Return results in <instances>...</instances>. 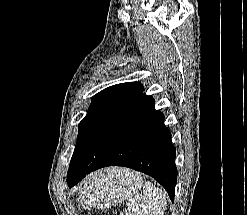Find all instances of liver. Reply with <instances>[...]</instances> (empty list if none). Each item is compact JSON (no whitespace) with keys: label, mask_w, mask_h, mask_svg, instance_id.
<instances>
[{"label":"liver","mask_w":247,"mask_h":215,"mask_svg":"<svg viewBox=\"0 0 247 215\" xmlns=\"http://www.w3.org/2000/svg\"><path fill=\"white\" fill-rule=\"evenodd\" d=\"M112 169L114 170V168H111V169H107V171H108L109 173H111ZM118 172H120L121 174H122V173H126V174H127V170H125V169H119Z\"/></svg>","instance_id":"6515ba94"}]
</instances>
